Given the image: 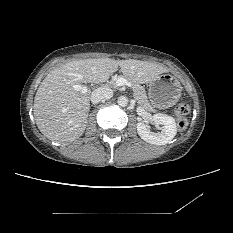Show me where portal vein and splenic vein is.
Masks as SVG:
<instances>
[{
	"instance_id": "portal-vein-and-splenic-vein-1",
	"label": "portal vein and splenic vein",
	"mask_w": 233,
	"mask_h": 233,
	"mask_svg": "<svg viewBox=\"0 0 233 233\" xmlns=\"http://www.w3.org/2000/svg\"><path fill=\"white\" fill-rule=\"evenodd\" d=\"M116 86H128L131 87V83L124 77H120L116 80ZM73 88L75 90L81 91L82 93H85L88 91L87 86L83 85H73Z\"/></svg>"
}]
</instances>
